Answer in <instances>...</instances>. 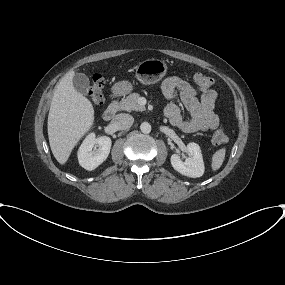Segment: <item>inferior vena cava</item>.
I'll use <instances>...</instances> for the list:
<instances>
[{
    "label": "inferior vena cava",
    "mask_w": 285,
    "mask_h": 285,
    "mask_svg": "<svg viewBox=\"0 0 285 285\" xmlns=\"http://www.w3.org/2000/svg\"><path fill=\"white\" fill-rule=\"evenodd\" d=\"M134 118L130 114L120 113L112 121L113 125L120 130L128 129L133 125Z\"/></svg>",
    "instance_id": "1"
}]
</instances>
